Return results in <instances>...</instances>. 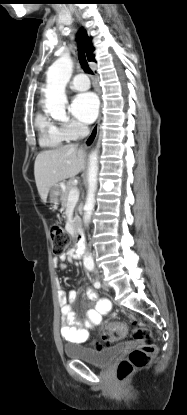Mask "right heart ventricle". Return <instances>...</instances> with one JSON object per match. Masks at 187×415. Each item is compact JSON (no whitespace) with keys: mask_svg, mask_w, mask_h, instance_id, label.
I'll list each match as a JSON object with an SVG mask.
<instances>
[{"mask_svg":"<svg viewBox=\"0 0 187 415\" xmlns=\"http://www.w3.org/2000/svg\"><path fill=\"white\" fill-rule=\"evenodd\" d=\"M35 125L41 146L56 148L67 141L61 127L41 112L36 116Z\"/></svg>","mask_w":187,"mask_h":415,"instance_id":"right-heart-ventricle-1","label":"right heart ventricle"}]
</instances>
